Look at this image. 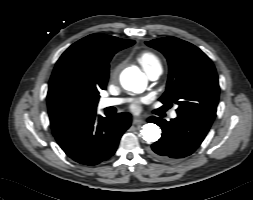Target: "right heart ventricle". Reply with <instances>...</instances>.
Instances as JSON below:
<instances>
[{
  "label": "right heart ventricle",
  "mask_w": 253,
  "mask_h": 200,
  "mask_svg": "<svg viewBox=\"0 0 253 200\" xmlns=\"http://www.w3.org/2000/svg\"><path fill=\"white\" fill-rule=\"evenodd\" d=\"M138 61L144 70H148L154 67H161V62L159 58L150 51H144L139 54Z\"/></svg>",
  "instance_id": "right-heart-ventricle-1"
}]
</instances>
